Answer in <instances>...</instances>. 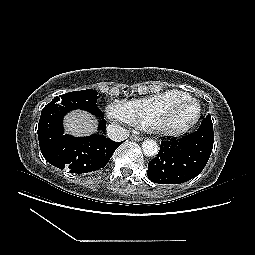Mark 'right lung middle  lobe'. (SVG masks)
<instances>
[{"label":"right lung middle lobe","instance_id":"dd1d6c3e","mask_svg":"<svg viewBox=\"0 0 255 255\" xmlns=\"http://www.w3.org/2000/svg\"><path fill=\"white\" fill-rule=\"evenodd\" d=\"M97 95V91L92 89L73 91L55 97L47 104L41 112L38 124V130L44 135V139L39 142L40 148L50 146L53 137L62 129L63 117L67 112L81 109L96 116L101 115L96 104Z\"/></svg>","mask_w":255,"mask_h":255}]
</instances>
